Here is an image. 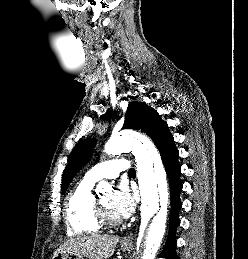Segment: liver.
Wrapping results in <instances>:
<instances>
[{
	"label": "liver",
	"instance_id": "obj_1",
	"mask_svg": "<svg viewBox=\"0 0 248 259\" xmlns=\"http://www.w3.org/2000/svg\"><path fill=\"white\" fill-rule=\"evenodd\" d=\"M119 237L110 235L92 234L71 238L64 242L54 253L70 252L89 259H107L114 253Z\"/></svg>",
	"mask_w": 248,
	"mask_h": 259
}]
</instances>
